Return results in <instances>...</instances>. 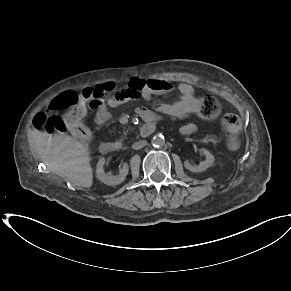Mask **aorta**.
I'll list each match as a JSON object with an SVG mask.
<instances>
[{"label":"aorta","instance_id":"aorta-1","mask_svg":"<svg viewBox=\"0 0 291 291\" xmlns=\"http://www.w3.org/2000/svg\"><path fill=\"white\" fill-rule=\"evenodd\" d=\"M152 144L153 146L159 147L163 146L165 143V138L161 133H156L152 138Z\"/></svg>","mask_w":291,"mask_h":291}]
</instances>
